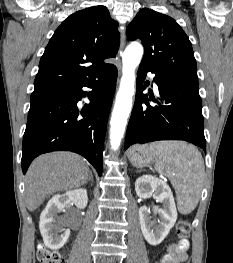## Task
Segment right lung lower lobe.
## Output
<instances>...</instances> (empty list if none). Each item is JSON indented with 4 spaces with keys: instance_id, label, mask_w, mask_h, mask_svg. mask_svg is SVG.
I'll list each match as a JSON object with an SVG mask.
<instances>
[{
    "instance_id": "98d812e1",
    "label": "right lung lower lobe",
    "mask_w": 233,
    "mask_h": 263,
    "mask_svg": "<svg viewBox=\"0 0 233 263\" xmlns=\"http://www.w3.org/2000/svg\"><path fill=\"white\" fill-rule=\"evenodd\" d=\"M117 69L108 64L94 77L33 92L22 146V170L51 151H72L84 156L102 174V155ZM83 87L92 89L83 91ZM90 103L80 108L81 98Z\"/></svg>"
}]
</instances>
